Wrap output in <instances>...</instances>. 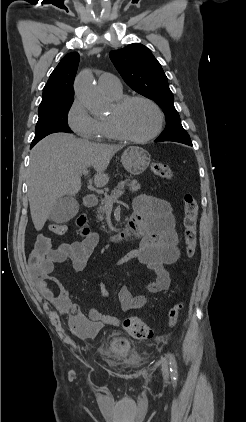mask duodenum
Returning <instances> with one entry per match:
<instances>
[{"mask_svg":"<svg viewBox=\"0 0 246 422\" xmlns=\"http://www.w3.org/2000/svg\"><path fill=\"white\" fill-rule=\"evenodd\" d=\"M84 206L86 208H93L97 204V199L88 195L84 197ZM87 217L81 215L77 219L78 226L82 229L83 234H89V230L86 227ZM140 236V224L135 217H132L125 225L122 231L110 237V242L115 244H130L134 242Z\"/></svg>","mask_w":246,"mask_h":422,"instance_id":"duodenum-1","label":"duodenum"}]
</instances>
